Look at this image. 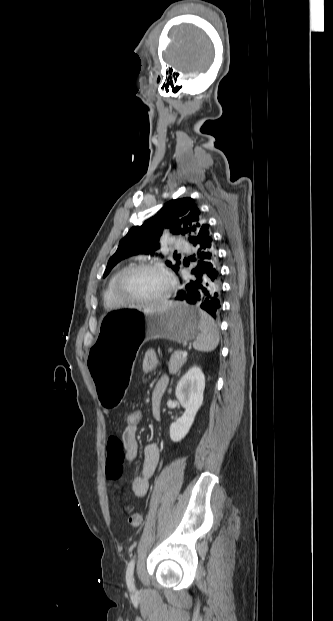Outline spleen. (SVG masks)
Here are the masks:
<instances>
[{
    "mask_svg": "<svg viewBox=\"0 0 333 621\" xmlns=\"http://www.w3.org/2000/svg\"><path fill=\"white\" fill-rule=\"evenodd\" d=\"M200 334L193 342V347L197 351L211 352L219 344V331L214 319L205 311L200 310Z\"/></svg>",
    "mask_w": 333,
    "mask_h": 621,
    "instance_id": "obj_1",
    "label": "spleen"
}]
</instances>
